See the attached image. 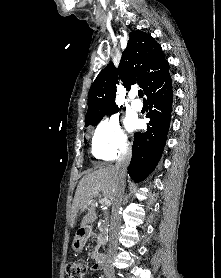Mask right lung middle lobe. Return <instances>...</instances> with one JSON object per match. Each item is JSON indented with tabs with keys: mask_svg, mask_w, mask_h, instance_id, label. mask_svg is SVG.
Returning <instances> with one entry per match:
<instances>
[{
	"mask_svg": "<svg viewBox=\"0 0 221 278\" xmlns=\"http://www.w3.org/2000/svg\"><path fill=\"white\" fill-rule=\"evenodd\" d=\"M103 117H104V116H103ZM103 117H101L100 119H98L95 123H93V124H85V126H86V127L89 126V125L95 126V125H97V124L102 120ZM84 140H85V142H86V139H84Z\"/></svg>",
	"mask_w": 221,
	"mask_h": 278,
	"instance_id": "right-lung-middle-lobe-1",
	"label": "right lung middle lobe"
}]
</instances>
